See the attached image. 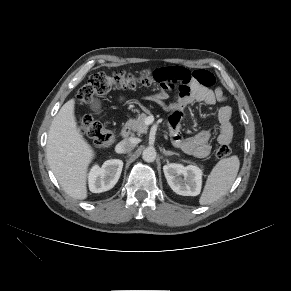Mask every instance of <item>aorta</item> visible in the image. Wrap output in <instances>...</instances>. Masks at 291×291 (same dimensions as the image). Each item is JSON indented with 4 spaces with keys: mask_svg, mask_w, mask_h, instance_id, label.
I'll return each mask as SVG.
<instances>
[{
    "mask_svg": "<svg viewBox=\"0 0 291 291\" xmlns=\"http://www.w3.org/2000/svg\"><path fill=\"white\" fill-rule=\"evenodd\" d=\"M142 158L145 162H153L156 159V151L152 147L146 148L142 153Z\"/></svg>",
    "mask_w": 291,
    "mask_h": 291,
    "instance_id": "762f6f07",
    "label": "aorta"
}]
</instances>
